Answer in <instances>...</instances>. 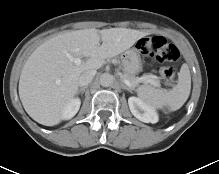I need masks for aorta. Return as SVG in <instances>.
<instances>
[{"label": "aorta", "instance_id": "1", "mask_svg": "<svg viewBox=\"0 0 219 174\" xmlns=\"http://www.w3.org/2000/svg\"><path fill=\"white\" fill-rule=\"evenodd\" d=\"M113 76L109 73H104L100 77V84L103 87H109L113 84Z\"/></svg>", "mask_w": 219, "mask_h": 174}]
</instances>
